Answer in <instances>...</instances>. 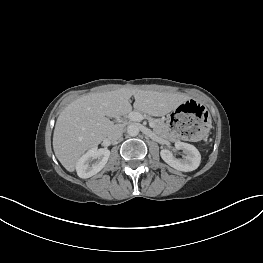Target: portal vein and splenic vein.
Returning a JSON list of instances; mask_svg holds the SVG:
<instances>
[{
  "label": "portal vein and splenic vein",
  "instance_id": "1",
  "mask_svg": "<svg viewBox=\"0 0 263 263\" xmlns=\"http://www.w3.org/2000/svg\"><path fill=\"white\" fill-rule=\"evenodd\" d=\"M128 117H129L131 120H133V121H138V122H140V121H142V120L144 119V116H143L141 113H139V112H130L129 115H128ZM149 126H150L151 128H153V127H154V122L151 121V120H149Z\"/></svg>",
  "mask_w": 263,
  "mask_h": 263
}]
</instances>
